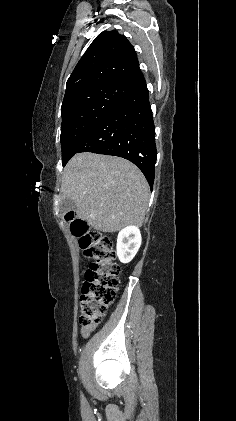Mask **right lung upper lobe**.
I'll return each mask as SVG.
<instances>
[{
	"instance_id": "right-lung-upper-lobe-1",
	"label": "right lung upper lobe",
	"mask_w": 236,
	"mask_h": 421,
	"mask_svg": "<svg viewBox=\"0 0 236 421\" xmlns=\"http://www.w3.org/2000/svg\"><path fill=\"white\" fill-rule=\"evenodd\" d=\"M139 71L137 55L130 42L117 31H104L95 38L70 75L64 100L83 91L120 86Z\"/></svg>"
}]
</instances>
